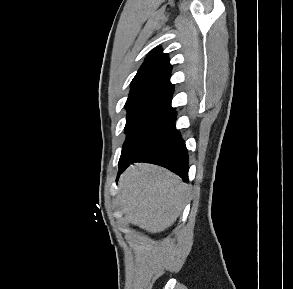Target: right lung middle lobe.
<instances>
[{
    "instance_id": "dd1d6c3e",
    "label": "right lung middle lobe",
    "mask_w": 293,
    "mask_h": 289,
    "mask_svg": "<svg viewBox=\"0 0 293 289\" xmlns=\"http://www.w3.org/2000/svg\"><path fill=\"white\" fill-rule=\"evenodd\" d=\"M125 108L128 112L125 126L127 137L122 150L131 147L154 126L175 113L169 103L158 100L127 101Z\"/></svg>"
}]
</instances>
